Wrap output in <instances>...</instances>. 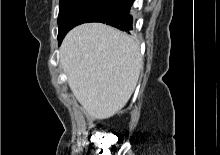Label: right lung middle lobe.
Masks as SVG:
<instances>
[{
	"instance_id": "obj_1",
	"label": "right lung middle lobe",
	"mask_w": 220,
	"mask_h": 155,
	"mask_svg": "<svg viewBox=\"0 0 220 155\" xmlns=\"http://www.w3.org/2000/svg\"><path fill=\"white\" fill-rule=\"evenodd\" d=\"M122 0H60L58 16V41L73 27L85 23L92 17L111 9Z\"/></svg>"
}]
</instances>
